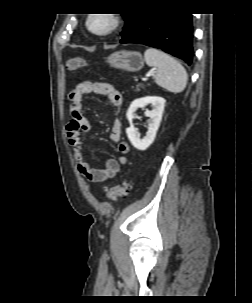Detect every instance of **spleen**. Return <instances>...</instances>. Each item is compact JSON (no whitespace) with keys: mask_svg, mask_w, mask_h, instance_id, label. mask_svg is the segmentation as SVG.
Listing matches in <instances>:
<instances>
[{"mask_svg":"<svg viewBox=\"0 0 252 303\" xmlns=\"http://www.w3.org/2000/svg\"><path fill=\"white\" fill-rule=\"evenodd\" d=\"M144 58L148 66L156 68L157 85L171 93H180L185 89L187 73L176 59L155 48H148Z\"/></svg>","mask_w":252,"mask_h":303,"instance_id":"obj_1","label":"spleen"}]
</instances>
